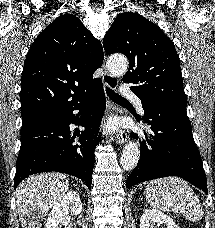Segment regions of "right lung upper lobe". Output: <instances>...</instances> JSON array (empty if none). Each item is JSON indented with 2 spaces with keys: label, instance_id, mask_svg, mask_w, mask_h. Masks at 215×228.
<instances>
[{
  "label": "right lung upper lobe",
  "instance_id": "obj_1",
  "mask_svg": "<svg viewBox=\"0 0 215 228\" xmlns=\"http://www.w3.org/2000/svg\"><path fill=\"white\" fill-rule=\"evenodd\" d=\"M103 63L99 40L73 14H63L35 39L21 77V117L28 123L54 117L97 82Z\"/></svg>",
  "mask_w": 215,
  "mask_h": 228
}]
</instances>
